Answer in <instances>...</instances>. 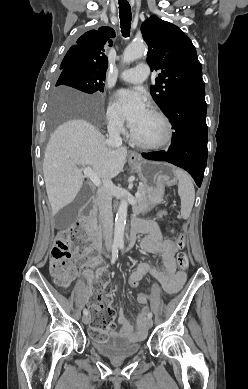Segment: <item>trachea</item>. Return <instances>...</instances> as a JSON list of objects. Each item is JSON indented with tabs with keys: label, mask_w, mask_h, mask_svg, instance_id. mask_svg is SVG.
Wrapping results in <instances>:
<instances>
[{
	"label": "trachea",
	"mask_w": 248,
	"mask_h": 389,
	"mask_svg": "<svg viewBox=\"0 0 248 389\" xmlns=\"http://www.w3.org/2000/svg\"><path fill=\"white\" fill-rule=\"evenodd\" d=\"M119 17L121 32L124 37H129L131 28V7L126 0H119Z\"/></svg>",
	"instance_id": "trachea-1"
}]
</instances>
